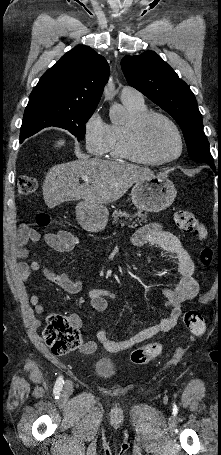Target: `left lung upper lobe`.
<instances>
[{
    "label": "left lung upper lobe",
    "instance_id": "5c2ea615",
    "mask_svg": "<svg viewBox=\"0 0 221 455\" xmlns=\"http://www.w3.org/2000/svg\"><path fill=\"white\" fill-rule=\"evenodd\" d=\"M121 67L130 86L176 120L183 131L190 158L204 163L213 161L195 96L171 66L154 51H146L125 56Z\"/></svg>",
    "mask_w": 221,
    "mask_h": 455
}]
</instances>
